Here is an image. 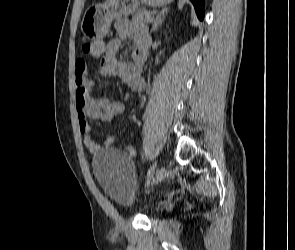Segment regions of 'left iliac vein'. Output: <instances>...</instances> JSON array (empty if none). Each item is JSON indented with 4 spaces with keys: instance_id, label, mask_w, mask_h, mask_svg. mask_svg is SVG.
<instances>
[{
    "instance_id": "obj_1",
    "label": "left iliac vein",
    "mask_w": 295,
    "mask_h": 250,
    "mask_svg": "<svg viewBox=\"0 0 295 250\" xmlns=\"http://www.w3.org/2000/svg\"><path fill=\"white\" fill-rule=\"evenodd\" d=\"M167 175H168V171L166 170V168H164V167L159 168L155 177L153 178V180L149 184V186L153 187V186L157 185L158 183L162 182L167 177Z\"/></svg>"
}]
</instances>
